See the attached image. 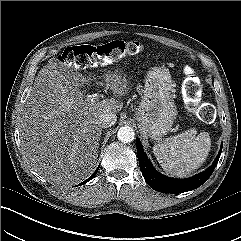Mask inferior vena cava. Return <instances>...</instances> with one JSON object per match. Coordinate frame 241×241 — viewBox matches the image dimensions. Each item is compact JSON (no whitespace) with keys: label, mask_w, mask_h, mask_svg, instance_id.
Listing matches in <instances>:
<instances>
[{"label":"inferior vena cava","mask_w":241,"mask_h":241,"mask_svg":"<svg viewBox=\"0 0 241 241\" xmlns=\"http://www.w3.org/2000/svg\"><path fill=\"white\" fill-rule=\"evenodd\" d=\"M117 120L116 114L112 112L101 113L98 117L100 127L107 128L115 124Z\"/></svg>","instance_id":"602c4592"}]
</instances>
